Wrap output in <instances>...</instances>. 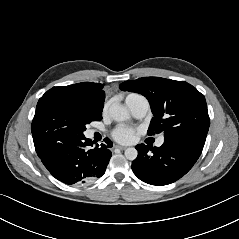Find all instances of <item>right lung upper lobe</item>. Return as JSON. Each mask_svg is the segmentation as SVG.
Wrapping results in <instances>:
<instances>
[{
	"label": "right lung upper lobe",
	"instance_id": "obj_1",
	"mask_svg": "<svg viewBox=\"0 0 239 239\" xmlns=\"http://www.w3.org/2000/svg\"><path fill=\"white\" fill-rule=\"evenodd\" d=\"M104 84L93 82H82L64 87H53L49 91H64L79 97L91 100L98 107L104 105L105 92L102 90Z\"/></svg>",
	"mask_w": 239,
	"mask_h": 239
}]
</instances>
